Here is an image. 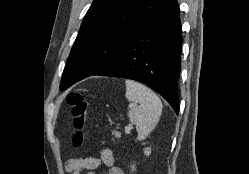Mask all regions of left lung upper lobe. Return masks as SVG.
<instances>
[{
	"mask_svg": "<svg viewBox=\"0 0 249 174\" xmlns=\"http://www.w3.org/2000/svg\"><path fill=\"white\" fill-rule=\"evenodd\" d=\"M165 0H94L70 52L60 90L110 63Z\"/></svg>",
	"mask_w": 249,
	"mask_h": 174,
	"instance_id": "left-lung-upper-lobe-1",
	"label": "left lung upper lobe"
}]
</instances>
